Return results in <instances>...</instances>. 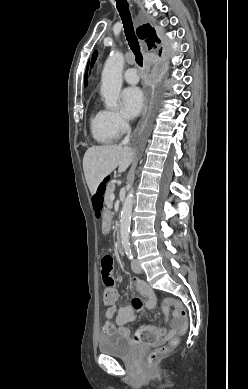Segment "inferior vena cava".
<instances>
[{
	"label": "inferior vena cava",
	"instance_id": "602c4592",
	"mask_svg": "<svg viewBox=\"0 0 248 389\" xmlns=\"http://www.w3.org/2000/svg\"><path fill=\"white\" fill-rule=\"evenodd\" d=\"M130 133H131V130L129 127H127V135L126 137L124 138V140L122 141V145H127L129 143V140H130Z\"/></svg>",
	"mask_w": 248,
	"mask_h": 389
}]
</instances>
